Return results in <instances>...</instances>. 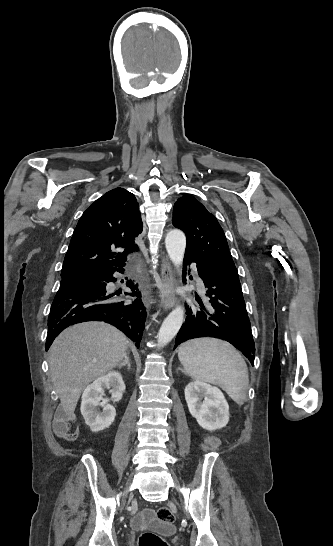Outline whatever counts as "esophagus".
<instances>
[{
	"label": "esophagus",
	"mask_w": 333,
	"mask_h": 546,
	"mask_svg": "<svg viewBox=\"0 0 333 546\" xmlns=\"http://www.w3.org/2000/svg\"><path fill=\"white\" fill-rule=\"evenodd\" d=\"M161 278L163 284V307L165 309H169L172 308L177 301V298L173 291L176 282L173 276L172 267L165 256H163V258L161 259Z\"/></svg>",
	"instance_id": "esophagus-1"
}]
</instances>
